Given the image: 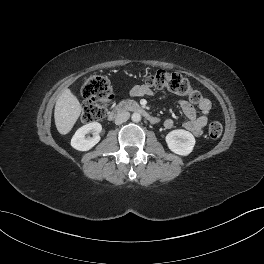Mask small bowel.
Listing matches in <instances>:
<instances>
[{
	"label": "small bowel",
	"mask_w": 264,
	"mask_h": 264,
	"mask_svg": "<svg viewBox=\"0 0 264 264\" xmlns=\"http://www.w3.org/2000/svg\"><path fill=\"white\" fill-rule=\"evenodd\" d=\"M130 94L134 97L150 96L152 95V90L144 84L137 85L132 88ZM179 105L186 119L183 123V127L193 135L200 136L208 122L211 102L207 98H202L198 103L199 113H197L196 109L186 100H180ZM164 126L170 129L174 126V121L170 118L166 119L164 121Z\"/></svg>",
	"instance_id": "obj_1"
}]
</instances>
